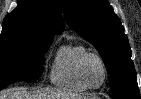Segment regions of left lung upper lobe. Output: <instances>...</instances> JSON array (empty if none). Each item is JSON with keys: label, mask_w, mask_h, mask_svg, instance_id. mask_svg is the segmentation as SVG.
Here are the masks:
<instances>
[{"label": "left lung upper lobe", "mask_w": 141, "mask_h": 99, "mask_svg": "<svg viewBox=\"0 0 141 99\" xmlns=\"http://www.w3.org/2000/svg\"><path fill=\"white\" fill-rule=\"evenodd\" d=\"M68 25L99 51L116 99L140 97L124 27L107 0H62Z\"/></svg>", "instance_id": "5c2ea615"}]
</instances>
